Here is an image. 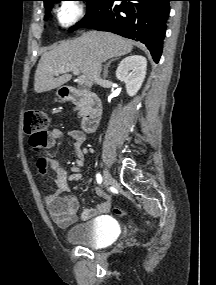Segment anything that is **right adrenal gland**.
Instances as JSON below:
<instances>
[{
  "label": "right adrenal gland",
  "instance_id": "right-adrenal-gland-1",
  "mask_svg": "<svg viewBox=\"0 0 216 285\" xmlns=\"http://www.w3.org/2000/svg\"><path fill=\"white\" fill-rule=\"evenodd\" d=\"M117 59H119V58L116 57V58L110 60V61L105 65V67H104V78H106L107 75H108V68H109V66L111 65V63L114 62V61H116Z\"/></svg>",
  "mask_w": 216,
  "mask_h": 285
}]
</instances>
